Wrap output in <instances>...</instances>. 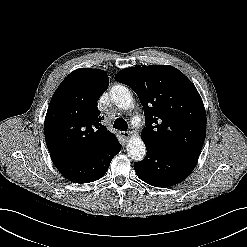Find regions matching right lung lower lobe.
Instances as JSON below:
<instances>
[{"label":"right lung lower lobe","mask_w":247,"mask_h":247,"mask_svg":"<svg viewBox=\"0 0 247 247\" xmlns=\"http://www.w3.org/2000/svg\"><path fill=\"white\" fill-rule=\"evenodd\" d=\"M121 150L116 139L108 147L86 160H74L51 154L59 172L72 182L89 183L101 178L108 170L113 157Z\"/></svg>","instance_id":"obj_1"}]
</instances>
